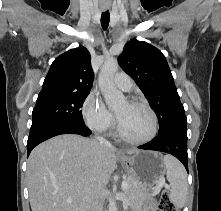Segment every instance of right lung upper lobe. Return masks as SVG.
I'll use <instances>...</instances> for the list:
<instances>
[{
	"instance_id": "1",
	"label": "right lung upper lobe",
	"mask_w": 221,
	"mask_h": 211,
	"mask_svg": "<svg viewBox=\"0 0 221 211\" xmlns=\"http://www.w3.org/2000/svg\"><path fill=\"white\" fill-rule=\"evenodd\" d=\"M92 82L90 53L79 46L53 61L41 92H90Z\"/></svg>"
}]
</instances>
